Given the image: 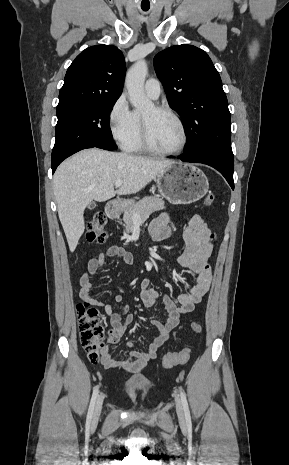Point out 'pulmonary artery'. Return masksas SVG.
Masks as SVG:
<instances>
[{"mask_svg": "<svg viewBox=\"0 0 289 465\" xmlns=\"http://www.w3.org/2000/svg\"><path fill=\"white\" fill-rule=\"evenodd\" d=\"M145 92L152 99H157L161 93L160 82L155 78H150L145 83Z\"/></svg>", "mask_w": 289, "mask_h": 465, "instance_id": "pulmonary-artery-1", "label": "pulmonary artery"}]
</instances>
